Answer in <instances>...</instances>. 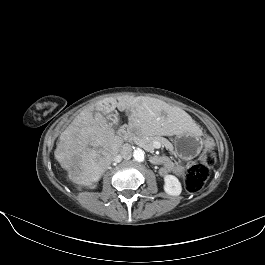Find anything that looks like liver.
I'll return each instance as SVG.
<instances>
[{"instance_id": "6515ba94", "label": "liver", "mask_w": 265, "mask_h": 265, "mask_svg": "<svg viewBox=\"0 0 265 265\" xmlns=\"http://www.w3.org/2000/svg\"><path fill=\"white\" fill-rule=\"evenodd\" d=\"M116 108L127 112L130 126L153 135L202 134L188 113L159 99L105 98L84 108L59 137L55 159L68 171L71 182L77 185L97 182L120 153L123 140L115 135V130L105 118Z\"/></svg>"}]
</instances>
